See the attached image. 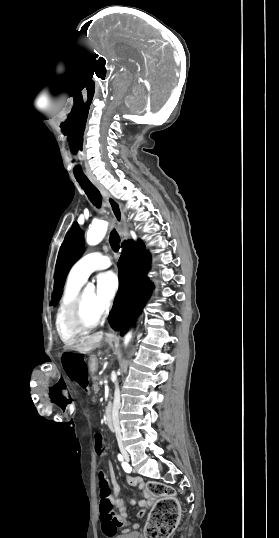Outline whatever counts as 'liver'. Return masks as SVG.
Masks as SVG:
<instances>
[{
  "label": "liver",
  "instance_id": "liver-1",
  "mask_svg": "<svg viewBox=\"0 0 279 538\" xmlns=\"http://www.w3.org/2000/svg\"><path fill=\"white\" fill-rule=\"evenodd\" d=\"M102 338L103 334H94V336H89L84 342H81L78 346H73V348H76L77 352H80V354H88V352L97 348Z\"/></svg>",
  "mask_w": 279,
  "mask_h": 538
}]
</instances>
